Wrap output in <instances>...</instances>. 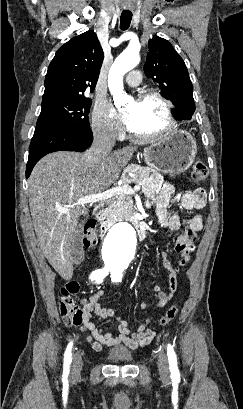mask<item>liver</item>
<instances>
[{"instance_id": "6515ba94", "label": "liver", "mask_w": 243, "mask_h": 409, "mask_svg": "<svg viewBox=\"0 0 243 409\" xmlns=\"http://www.w3.org/2000/svg\"><path fill=\"white\" fill-rule=\"evenodd\" d=\"M135 146L114 151L96 163L85 154L58 151L43 157L28 179L29 207L40 248L65 280L73 276L71 246L78 221L88 208L73 206L80 198L109 188L128 164ZM59 209H69L62 213Z\"/></svg>"}]
</instances>
